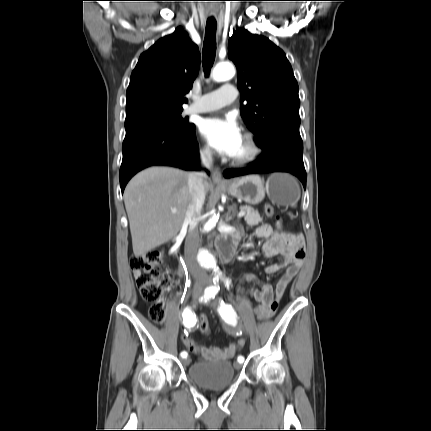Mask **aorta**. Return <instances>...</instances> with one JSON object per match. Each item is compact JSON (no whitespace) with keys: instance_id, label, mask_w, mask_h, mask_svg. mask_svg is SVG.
<instances>
[{"instance_id":"762f6f07","label":"aorta","mask_w":431,"mask_h":431,"mask_svg":"<svg viewBox=\"0 0 431 431\" xmlns=\"http://www.w3.org/2000/svg\"><path fill=\"white\" fill-rule=\"evenodd\" d=\"M235 75V69L230 63H222L215 66L212 77L217 82L227 81ZM218 221V215L211 217L201 229L204 235L211 234ZM199 265L205 269L214 272V282H218L221 278V272L219 271L215 256L207 249L201 248L198 253Z\"/></svg>"}]
</instances>
